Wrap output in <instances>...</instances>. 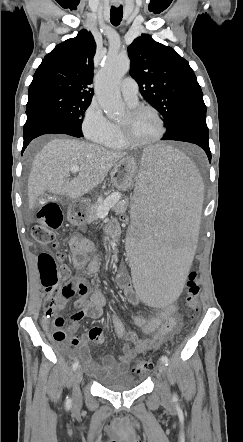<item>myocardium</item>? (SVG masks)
<instances>
[{"mask_svg": "<svg viewBox=\"0 0 243 442\" xmlns=\"http://www.w3.org/2000/svg\"><path fill=\"white\" fill-rule=\"evenodd\" d=\"M145 111H149L152 112L158 123H159V132L158 134L150 140L147 141H134L130 138L129 134H128V128L126 124H119V133H120V137L121 140L123 141V143L127 146V147H134V148H142V147H147V146H151L156 144L157 142H159L163 136L165 135L166 132V127H165V123L164 120L160 114V112L153 106L150 105H136L131 107L130 109V113L133 116L139 115Z\"/></svg>", "mask_w": 243, "mask_h": 442, "instance_id": "obj_1", "label": "myocardium"}]
</instances>
